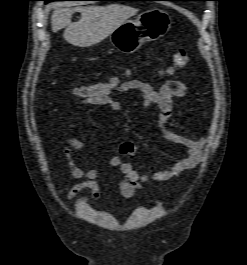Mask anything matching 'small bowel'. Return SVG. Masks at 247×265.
Instances as JSON below:
<instances>
[{"label":"small bowel","mask_w":247,"mask_h":265,"mask_svg":"<svg viewBox=\"0 0 247 265\" xmlns=\"http://www.w3.org/2000/svg\"><path fill=\"white\" fill-rule=\"evenodd\" d=\"M160 79L171 77L160 87L142 80H128L121 82L116 93L124 94L130 91H137L142 98L143 107L156 106L159 110V119L162 123L164 137L177 144L184 150V156L171 166L170 169L159 170L152 174H142L133 167L130 162L124 161L121 156H113L109 159V168H119L123 174L113 186L125 199H132L137 191L141 190L142 184L148 181L163 182L180 175L182 172L196 167L202 157L204 147L207 144L206 138L193 139L180 135L168 127V122L173 113V98L190 97L189 88L183 84L175 75L174 69L167 67L158 71ZM108 108L120 112L122 105L115 99L107 104ZM84 148L82 141L76 138H68L63 150L64 160L72 178L79 180L67 194L68 199L76 197L85 189L90 191L89 197L96 200L101 195V180L104 174L103 168L83 169L77 166L72 157L71 151H81Z\"/></svg>","instance_id":"small-bowel-1"}]
</instances>
